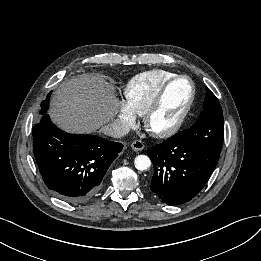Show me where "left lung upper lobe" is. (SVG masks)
<instances>
[{"label":"left lung upper lobe","mask_w":261,"mask_h":261,"mask_svg":"<svg viewBox=\"0 0 261 261\" xmlns=\"http://www.w3.org/2000/svg\"><path fill=\"white\" fill-rule=\"evenodd\" d=\"M204 110L188 129L195 145L220 153L224 139L223 112L218 99L207 89Z\"/></svg>","instance_id":"1"}]
</instances>
